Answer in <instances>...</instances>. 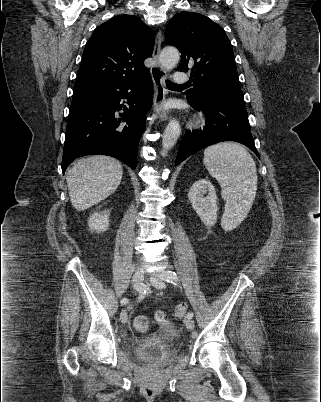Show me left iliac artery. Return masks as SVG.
I'll list each match as a JSON object with an SVG mask.
<instances>
[{"label": "left iliac artery", "mask_w": 321, "mask_h": 402, "mask_svg": "<svg viewBox=\"0 0 321 402\" xmlns=\"http://www.w3.org/2000/svg\"><path fill=\"white\" fill-rule=\"evenodd\" d=\"M162 278L165 281H167L169 283H172L174 285H177V283L179 281L178 276L174 271H165V273L163 274ZM192 317H193V313L189 312L187 314V318H192Z\"/></svg>", "instance_id": "1"}]
</instances>
